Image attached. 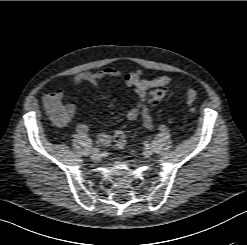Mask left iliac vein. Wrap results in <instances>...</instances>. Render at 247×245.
Returning a JSON list of instances; mask_svg holds the SVG:
<instances>
[{"label": "left iliac vein", "instance_id": "obj_1", "mask_svg": "<svg viewBox=\"0 0 247 245\" xmlns=\"http://www.w3.org/2000/svg\"><path fill=\"white\" fill-rule=\"evenodd\" d=\"M152 154H153L152 147L149 146V147L144 148L143 150L144 157L149 158Z\"/></svg>", "mask_w": 247, "mask_h": 245}]
</instances>
